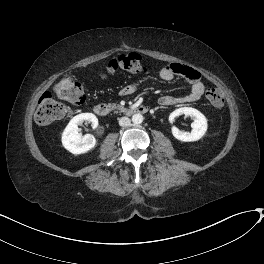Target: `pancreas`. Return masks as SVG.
Masks as SVG:
<instances>
[{
    "instance_id": "pancreas-1",
    "label": "pancreas",
    "mask_w": 264,
    "mask_h": 264,
    "mask_svg": "<svg viewBox=\"0 0 264 264\" xmlns=\"http://www.w3.org/2000/svg\"><path fill=\"white\" fill-rule=\"evenodd\" d=\"M111 109L117 110L118 112H124L125 108L119 104L112 103L110 104Z\"/></svg>"
}]
</instances>
